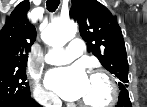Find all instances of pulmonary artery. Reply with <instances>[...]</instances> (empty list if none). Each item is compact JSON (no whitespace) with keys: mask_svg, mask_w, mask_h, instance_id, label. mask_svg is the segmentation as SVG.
I'll return each instance as SVG.
<instances>
[{"mask_svg":"<svg viewBox=\"0 0 147 107\" xmlns=\"http://www.w3.org/2000/svg\"><path fill=\"white\" fill-rule=\"evenodd\" d=\"M84 51V43L80 38L73 39L68 47L63 50L52 51L45 56L49 64H66L80 56Z\"/></svg>","mask_w":147,"mask_h":107,"instance_id":"e3ab8cb5","label":"pulmonary artery"}]
</instances>
